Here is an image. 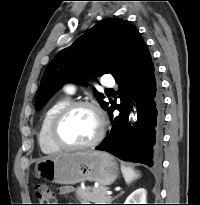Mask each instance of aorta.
<instances>
[{
  "instance_id": "obj_1",
  "label": "aorta",
  "mask_w": 200,
  "mask_h": 205,
  "mask_svg": "<svg viewBox=\"0 0 200 205\" xmlns=\"http://www.w3.org/2000/svg\"><path fill=\"white\" fill-rule=\"evenodd\" d=\"M131 117H132L134 120H135V118H136V116H134V115H132Z\"/></svg>"
}]
</instances>
